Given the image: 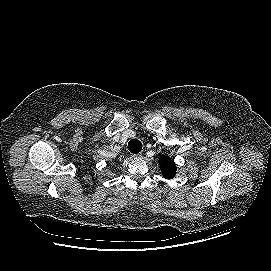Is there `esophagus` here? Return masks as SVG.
Returning <instances> with one entry per match:
<instances>
[{"label": "esophagus", "mask_w": 271, "mask_h": 271, "mask_svg": "<svg viewBox=\"0 0 271 271\" xmlns=\"http://www.w3.org/2000/svg\"><path fill=\"white\" fill-rule=\"evenodd\" d=\"M132 157L133 158H141L142 154L141 153L133 154Z\"/></svg>", "instance_id": "34e87169"}]
</instances>
